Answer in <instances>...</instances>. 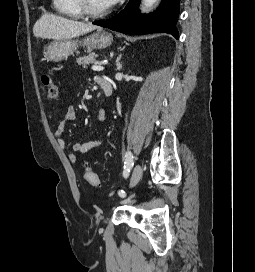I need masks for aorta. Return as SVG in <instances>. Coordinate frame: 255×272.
Wrapping results in <instances>:
<instances>
[{
  "label": "aorta",
  "mask_w": 255,
  "mask_h": 272,
  "mask_svg": "<svg viewBox=\"0 0 255 272\" xmlns=\"http://www.w3.org/2000/svg\"><path fill=\"white\" fill-rule=\"evenodd\" d=\"M158 0H142V11H147L152 8Z\"/></svg>",
  "instance_id": "aorta-1"
}]
</instances>
